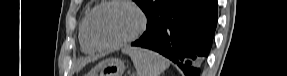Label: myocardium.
Returning <instances> with one entry per match:
<instances>
[{
	"instance_id": "1",
	"label": "myocardium",
	"mask_w": 287,
	"mask_h": 76,
	"mask_svg": "<svg viewBox=\"0 0 287 76\" xmlns=\"http://www.w3.org/2000/svg\"><path fill=\"white\" fill-rule=\"evenodd\" d=\"M124 4L129 6L130 8H132L135 13L137 14L138 18H139V24L138 27L136 28V30L129 36L114 42V43H102L99 42L93 35L92 32V21H93V17L96 14V12L98 10H100L101 8L111 5V4ZM147 26V17L146 14L144 13V11L133 1L131 0H108V1H103L100 4H98L97 6H95L90 13L87 15V19H86V33L88 36V39L90 40V42L97 48V49H103V50H109V49H117L119 47H122L126 44H129L133 41H135L136 39H138L143 32L145 31Z\"/></svg>"
}]
</instances>
